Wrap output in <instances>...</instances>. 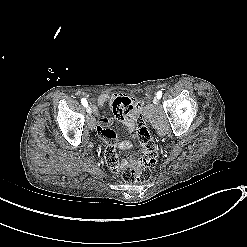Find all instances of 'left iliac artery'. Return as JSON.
Returning a JSON list of instances; mask_svg holds the SVG:
<instances>
[{
    "instance_id": "1",
    "label": "left iliac artery",
    "mask_w": 247,
    "mask_h": 247,
    "mask_svg": "<svg viewBox=\"0 0 247 247\" xmlns=\"http://www.w3.org/2000/svg\"><path fill=\"white\" fill-rule=\"evenodd\" d=\"M156 96H157L158 99H160V98L162 97V91H161V90L158 91V92L156 93Z\"/></svg>"
}]
</instances>
